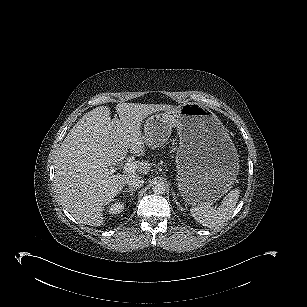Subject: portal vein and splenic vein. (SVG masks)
Returning a JSON list of instances; mask_svg holds the SVG:
<instances>
[{"label": "portal vein and splenic vein", "mask_w": 307, "mask_h": 307, "mask_svg": "<svg viewBox=\"0 0 307 307\" xmlns=\"http://www.w3.org/2000/svg\"><path fill=\"white\" fill-rule=\"evenodd\" d=\"M137 169V165L134 162H127L124 165V170L126 172H135Z\"/></svg>", "instance_id": "obj_1"}]
</instances>
